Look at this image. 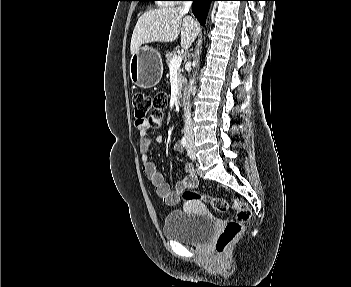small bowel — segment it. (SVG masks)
<instances>
[{
	"label": "small bowel",
	"instance_id": "c3829d8e",
	"mask_svg": "<svg viewBox=\"0 0 351 287\" xmlns=\"http://www.w3.org/2000/svg\"><path fill=\"white\" fill-rule=\"evenodd\" d=\"M136 128L138 129V145L139 153L142 162V168L146 176L155 186L157 194L167 205H175L179 202L181 193L186 189H193L197 186L198 180L193 166L189 163L184 164L185 176L176 183L175 188L165 181L161 172L156 168L155 163L149 157V149L153 142H161L162 136L156 134L151 136L152 127L149 125V120H136ZM177 152L183 150L181 142H177L174 146Z\"/></svg>",
	"mask_w": 351,
	"mask_h": 287
}]
</instances>
